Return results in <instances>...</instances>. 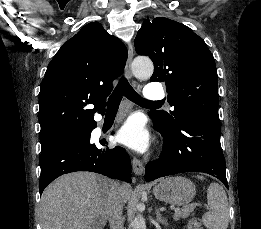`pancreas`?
I'll list each match as a JSON object with an SVG mask.
<instances>
[{
	"mask_svg": "<svg viewBox=\"0 0 261 229\" xmlns=\"http://www.w3.org/2000/svg\"><path fill=\"white\" fill-rule=\"evenodd\" d=\"M193 211V208L184 209L181 214L174 213L173 219L174 221H180V219H187V217H190L191 213Z\"/></svg>",
	"mask_w": 261,
	"mask_h": 229,
	"instance_id": "1",
	"label": "pancreas"
}]
</instances>
